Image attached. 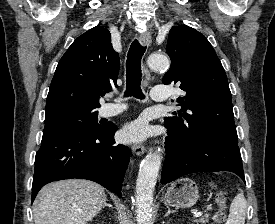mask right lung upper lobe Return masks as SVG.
<instances>
[{
	"mask_svg": "<svg viewBox=\"0 0 275 224\" xmlns=\"http://www.w3.org/2000/svg\"><path fill=\"white\" fill-rule=\"evenodd\" d=\"M119 67L109 30L99 25L88 30L60 59L47 96L46 113L69 106L98 108L102 90L117 87Z\"/></svg>",
	"mask_w": 275,
	"mask_h": 224,
	"instance_id": "1",
	"label": "right lung upper lobe"
}]
</instances>
